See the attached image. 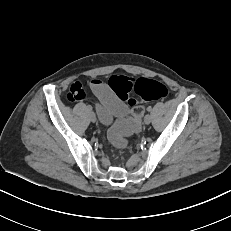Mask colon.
Returning <instances> with one entry per match:
<instances>
[{
  "mask_svg": "<svg viewBox=\"0 0 231 231\" xmlns=\"http://www.w3.org/2000/svg\"><path fill=\"white\" fill-rule=\"evenodd\" d=\"M109 88L115 95L127 102L132 108L131 118L112 127L108 133L110 142L117 148L127 147L126 136L139 129L140 119L143 114L142 108L138 105L139 101H153L165 99L168 95V88L163 83L147 79H134L124 75H114L109 79ZM134 92L137 98L131 97Z\"/></svg>",
  "mask_w": 231,
  "mask_h": 231,
  "instance_id": "1",
  "label": "colon"
}]
</instances>
